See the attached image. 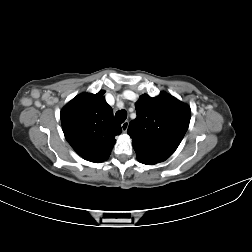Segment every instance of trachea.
I'll list each match as a JSON object with an SVG mask.
<instances>
[{
    "label": "trachea",
    "mask_w": 252,
    "mask_h": 252,
    "mask_svg": "<svg viewBox=\"0 0 252 252\" xmlns=\"http://www.w3.org/2000/svg\"><path fill=\"white\" fill-rule=\"evenodd\" d=\"M127 118V112L125 110H119L115 114V119L119 123H123Z\"/></svg>",
    "instance_id": "trachea-1"
}]
</instances>
